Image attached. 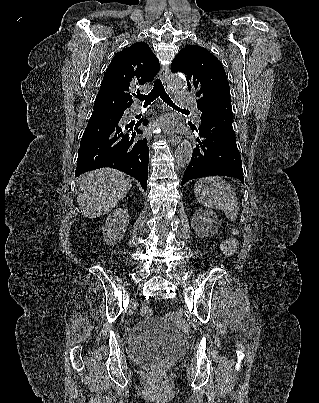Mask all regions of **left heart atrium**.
I'll list each match as a JSON object with an SVG mask.
<instances>
[{"label":"left heart atrium","mask_w":319,"mask_h":403,"mask_svg":"<svg viewBox=\"0 0 319 403\" xmlns=\"http://www.w3.org/2000/svg\"><path fill=\"white\" fill-rule=\"evenodd\" d=\"M158 125L161 126L164 129H168L171 127V121L168 118H161L158 121Z\"/></svg>","instance_id":"1"}]
</instances>
